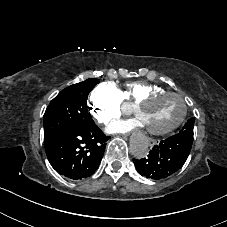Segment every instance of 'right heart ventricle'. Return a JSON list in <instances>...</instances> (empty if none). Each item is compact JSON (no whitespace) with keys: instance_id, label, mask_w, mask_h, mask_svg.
<instances>
[{"instance_id":"right-heart-ventricle-1","label":"right heart ventricle","mask_w":227,"mask_h":227,"mask_svg":"<svg viewBox=\"0 0 227 227\" xmlns=\"http://www.w3.org/2000/svg\"><path fill=\"white\" fill-rule=\"evenodd\" d=\"M162 90L165 89L157 84L138 80L126 83L124 90H120V93L123 103L134 105L143 96Z\"/></svg>"}]
</instances>
